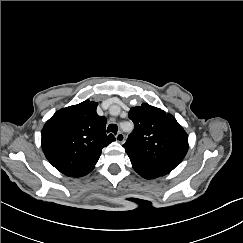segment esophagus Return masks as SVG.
<instances>
[{
    "instance_id": "obj_1",
    "label": "esophagus",
    "mask_w": 243,
    "mask_h": 243,
    "mask_svg": "<svg viewBox=\"0 0 243 243\" xmlns=\"http://www.w3.org/2000/svg\"><path fill=\"white\" fill-rule=\"evenodd\" d=\"M116 141L119 143H123L125 140V136L122 132L117 133V135L115 136Z\"/></svg>"
}]
</instances>
